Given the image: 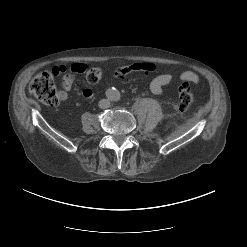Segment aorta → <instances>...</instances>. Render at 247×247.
Returning <instances> with one entry per match:
<instances>
[{"label":"aorta","instance_id":"762f6f07","mask_svg":"<svg viewBox=\"0 0 247 247\" xmlns=\"http://www.w3.org/2000/svg\"><path fill=\"white\" fill-rule=\"evenodd\" d=\"M106 96L110 101H118L121 97L120 92L114 87L107 89Z\"/></svg>","mask_w":247,"mask_h":247}]
</instances>
